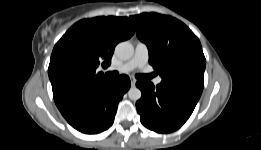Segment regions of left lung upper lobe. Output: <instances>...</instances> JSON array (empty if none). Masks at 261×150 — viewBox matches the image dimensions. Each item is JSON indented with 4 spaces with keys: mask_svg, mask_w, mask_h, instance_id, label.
<instances>
[{
    "mask_svg": "<svg viewBox=\"0 0 261 150\" xmlns=\"http://www.w3.org/2000/svg\"><path fill=\"white\" fill-rule=\"evenodd\" d=\"M149 50V63L162 80L186 79L204 85L206 60L199 39L181 21L157 13L129 17Z\"/></svg>",
    "mask_w": 261,
    "mask_h": 150,
    "instance_id": "left-lung-upper-lobe-1",
    "label": "left lung upper lobe"
}]
</instances>
